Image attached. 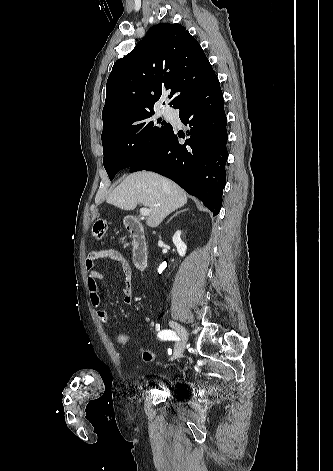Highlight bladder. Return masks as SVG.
I'll return each instance as SVG.
<instances>
[{"label":"bladder","instance_id":"obj_1","mask_svg":"<svg viewBox=\"0 0 333 471\" xmlns=\"http://www.w3.org/2000/svg\"><path fill=\"white\" fill-rule=\"evenodd\" d=\"M169 382L172 385L173 390L175 392L180 393V392L184 391L185 387L181 382L173 380V379H170Z\"/></svg>","mask_w":333,"mask_h":471}]
</instances>
